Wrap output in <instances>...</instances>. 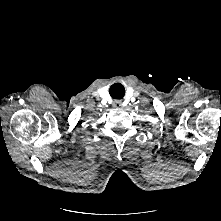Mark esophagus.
Here are the masks:
<instances>
[{
	"label": "esophagus",
	"instance_id": "1",
	"mask_svg": "<svg viewBox=\"0 0 221 221\" xmlns=\"http://www.w3.org/2000/svg\"><path fill=\"white\" fill-rule=\"evenodd\" d=\"M121 106V103L119 101H116L115 107L119 108Z\"/></svg>",
	"mask_w": 221,
	"mask_h": 221
}]
</instances>
